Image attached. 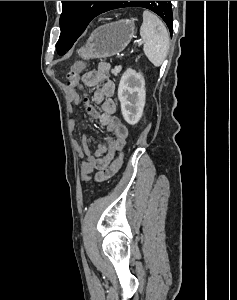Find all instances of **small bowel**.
Here are the masks:
<instances>
[{
    "label": "small bowel",
    "instance_id": "1",
    "mask_svg": "<svg viewBox=\"0 0 237 300\" xmlns=\"http://www.w3.org/2000/svg\"><path fill=\"white\" fill-rule=\"evenodd\" d=\"M112 66L109 62L99 63L97 68L83 75L82 83L78 86H68V96L74 104L80 103V95L76 88L84 91L85 86L93 87L102 83L92 96V102L100 106L95 108L90 98L84 92L83 104L89 115L98 120L106 127L108 136L105 143H97L94 153L88 146V138H82V145L78 148V155L81 159V173L90 174L97 171L96 179L103 181L114 175L121 166V152L124 148L128 135L127 127L115 116L116 104L111 99L115 91V84L110 79ZM74 126V121L70 122Z\"/></svg>",
    "mask_w": 237,
    "mask_h": 300
}]
</instances>
